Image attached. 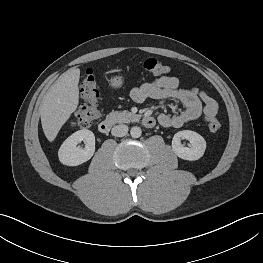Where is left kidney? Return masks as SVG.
I'll return each mask as SVG.
<instances>
[{"instance_id":"1","label":"left kidney","mask_w":263,"mask_h":263,"mask_svg":"<svg viewBox=\"0 0 263 263\" xmlns=\"http://www.w3.org/2000/svg\"><path fill=\"white\" fill-rule=\"evenodd\" d=\"M181 139L189 141V147L181 144ZM206 149L205 139L198 133L190 130L177 132L172 140V150L181 159L194 161L201 158Z\"/></svg>"}]
</instances>
